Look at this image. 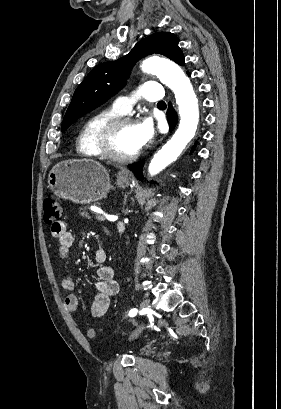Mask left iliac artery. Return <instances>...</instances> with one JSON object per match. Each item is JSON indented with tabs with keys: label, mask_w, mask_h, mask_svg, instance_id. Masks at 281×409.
<instances>
[{
	"label": "left iliac artery",
	"mask_w": 281,
	"mask_h": 409,
	"mask_svg": "<svg viewBox=\"0 0 281 409\" xmlns=\"http://www.w3.org/2000/svg\"><path fill=\"white\" fill-rule=\"evenodd\" d=\"M137 311H138L137 309H131L129 312V316L134 317L137 314Z\"/></svg>",
	"instance_id": "obj_1"
}]
</instances>
